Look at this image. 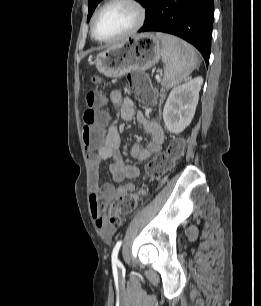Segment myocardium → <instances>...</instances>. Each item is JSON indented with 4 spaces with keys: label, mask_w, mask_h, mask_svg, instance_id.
I'll return each mask as SVG.
<instances>
[{
    "label": "myocardium",
    "mask_w": 261,
    "mask_h": 306,
    "mask_svg": "<svg viewBox=\"0 0 261 306\" xmlns=\"http://www.w3.org/2000/svg\"><path fill=\"white\" fill-rule=\"evenodd\" d=\"M115 3H125V4L132 6L136 10V13H137L136 22L132 26V28L124 34H121V35H118L112 38H106V39L100 38L96 34V24H97L98 17L104 9H106L108 6L115 4ZM145 19H146V9L139 0H107L97 9V11L95 12L93 16L92 23H91V35L96 41L101 42V43L116 42V41L125 39L135 34L143 26Z\"/></svg>",
    "instance_id": "myocardium-1"
}]
</instances>
